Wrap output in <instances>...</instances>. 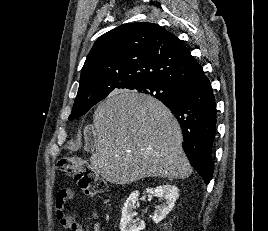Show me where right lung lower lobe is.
Wrapping results in <instances>:
<instances>
[{"instance_id":"98d812e1","label":"right lung lower lobe","mask_w":268,"mask_h":231,"mask_svg":"<svg viewBox=\"0 0 268 231\" xmlns=\"http://www.w3.org/2000/svg\"><path fill=\"white\" fill-rule=\"evenodd\" d=\"M178 120L182 143L191 165L208 184L212 178V149L216 134V103L209 79L200 78L176 87L169 99H159Z\"/></svg>"}]
</instances>
